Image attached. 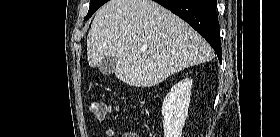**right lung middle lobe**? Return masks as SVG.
Here are the masks:
<instances>
[{"label": "right lung middle lobe", "instance_id": "obj_1", "mask_svg": "<svg viewBox=\"0 0 280 137\" xmlns=\"http://www.w3.org/2000/svg\"><path fill=\"white\" fill-rule=\"evenodd\" d=\"M108 0H91L90 7L87 16L85 17L84 21L89 19L92 14L103 4H105Z\"/></svg>", "mask_w": 280, "mask_h": 137}]
</instances>
